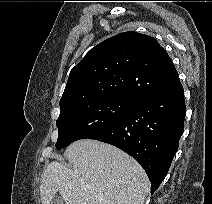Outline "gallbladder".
<instances>
[{
	"label": "gallbladder",
	"mask_w": 212,
	"mask_h": 204,
	"mask_svg": "<svg viewBox=\"0 0 212 204\" xmlns=\"http://www.w3.org/2000/svg\"><path fill=\"white\" fill-rule=\"evenodd\" d=\"M51 204H64V203H63V199L61 198V196L56 195V196H54Z\"/></svg>",
	"instance_id": "1"
}]
</instances>
